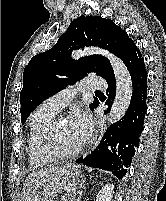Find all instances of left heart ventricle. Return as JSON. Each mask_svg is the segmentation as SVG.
<instances>
[{
  "instance_id": "b2bd125f",
  "label": "left heart ventricle",
  "mask_w": 166,
  "mask_h": 201,
  "mask_svg": "<svg viewBox=\"0 0 166 201\" xmlns=\"http://www.w3.org/2000/svg\"><path fill=\"white\" fill-rule=\"evenodd\" d=\"M55 146L64 152L75 150L80 146L78 137L68 121L60 122L54 131Z\"/></svg>"
}]
</instances>
